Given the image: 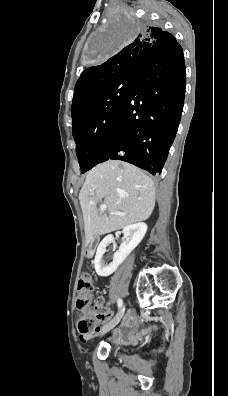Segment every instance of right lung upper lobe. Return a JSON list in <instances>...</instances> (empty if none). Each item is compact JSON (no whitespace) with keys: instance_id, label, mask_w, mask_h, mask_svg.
<instances>
[{"instance_id":"cb5924a9","label":"right lung upper lobe","mask_w":228,"mask_h":396,"mask_svg":"<svg viewBox=\"0 0 228 396\" xmlns=\"http://www.w3.org/2000/svg\"><path fill=\"white\" fill-rule=\"evenodd\" d=\"M177 43L174 36L161 28L146 26L139 35L117 54L98 66L87 68L78 79L72 101V118L111 81L133 76L139 63L155 49L169 50Z\"/></svg>"}]
</instances>
